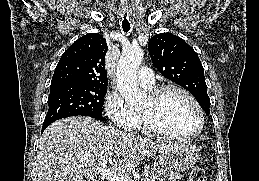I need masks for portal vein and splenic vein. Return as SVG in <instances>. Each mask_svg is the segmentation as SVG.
<instances>
[{
    "label": "portal vein and splenic vein",
    "instance_id": "1",
    "mask_svg": "<svg viewBox=\"0 0 259 181\" xmlns=\"http://www.w3.org/2000/svg\"><path fill=\"white\" fill-rule=\"evenodd\" d=\"M97 171L101 174L102 178H106L108 181H134L132 177L126 174H118L105 165L98 168ZM144 181H155V179L148 177Z\"/></svg>",
    "mask_w": 259,
    "mask_h": 181
}]
</instances>
